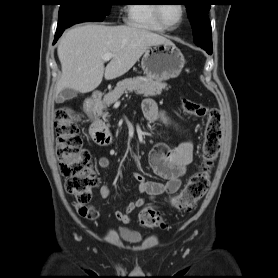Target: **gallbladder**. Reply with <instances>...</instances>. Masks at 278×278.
<instances>
[{
	"label": "gallbladder",
	"mask_w": 278,
	"mask_h": 278,
	"mask_svg": "<svg viewBox=\"0 0 278 278\" xmlns=\"http://www.w3.org/2000/svg\"><path fill=\"white\" fill-rule=\"evenodd\" d=\"M76 96H77V91L70 89V88H65L59 93V95L56 99V102L63 103L64 101L71 100V99L75 98Z\"/></svg>",
	"instance_id": "obj_1"
}]
</instances>
